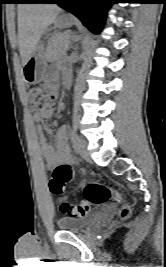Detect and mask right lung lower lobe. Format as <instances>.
<instances>
[{"mask_svg":"<svg viewBox=\"0 0 166 267\" xmlns=\"http://www.w3.org/2000/svg\"><path fill=\"white\" fill-rule=\"evenodd\" d=\"M48 0H27L26 3H45Z\"/></svg>","mask_w":166,"mask_h":267,"instance_id":"98d812e1","label":"right lung lower lobe"}]
</instances>
